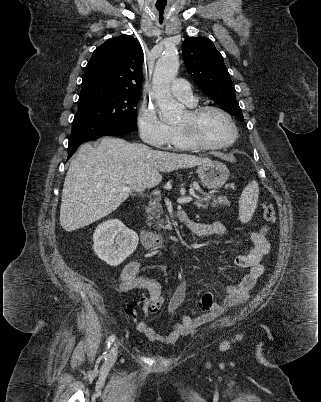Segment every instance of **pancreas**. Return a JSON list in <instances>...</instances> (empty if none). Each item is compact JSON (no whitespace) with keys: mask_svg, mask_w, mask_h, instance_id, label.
Wrapping results in <instances>:
<instances>
[{"mask_svg":"<svg viewBox=\"0 0 321 402\" xmlns=\"http://www.w3.org/2000/svg\"><path fill=\"white\" fill-rule=\"evenodd\" d=\"M204 201H206V200H201V199L197 198L193 204L195 206H197L198 208H203V209L207 208L209 206V204L212 207H217L218 205L225 206V205L230 204L229 200L226 197H218L216 199L214 198L213 202H211V203H208V202L204 203ZM146 213L148 214V222H149L148 224L149 225H150V221H152V220L154 221V219L159 220L160 215L163 213L159 200L151 201L149 203L148 207L146 208ZM162 222L163 221L156 222L157 228H162Z\"/></svg>","mask_w":321,"mask_h":402,"instance_id":"1","label":"pancreas"}]
</instances>
